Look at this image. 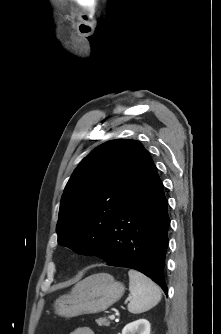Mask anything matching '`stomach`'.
Wrapping results in <instances>:
<instances>
[{
    "instance_id": "0dacf381",
    "label": "stomach",
    "mask_w": 221,
    "mask_h": 334,
    "mask_svg": "<svg viewBox=\"0 0 221 334\" xmlns=\"http://www.w3.org/2000/svg\"><path fill=\"white\" fill-rule=\"evenodd\" d=\"M124 285L107 273L88 276L81 286L54 302L55 313L67 318L105 311L123 295Z\"/></svg>"
}]
</instances>
